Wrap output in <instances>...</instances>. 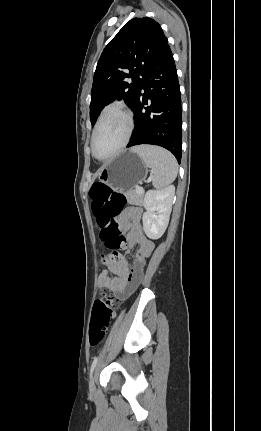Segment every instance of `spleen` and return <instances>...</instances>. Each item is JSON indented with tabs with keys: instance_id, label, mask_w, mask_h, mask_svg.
Here are the masks:
<instances>
[{
	"instance_id": "spleen-1",
	"label": "spleen",
	"mask_w": 261,
	"mask_h": 431,
	"mask_svg": "<svg viewBox=\"0 0 261 431\" xmlns=\"http://www.w3.org/2000/svg\"><path fill=\"white\" fill-rule=\"evenodd\" d=\"M132 150L141 157L147 167L153 170V186L155 188L163 190L176 179L178 164L169 151L148 145L137 146Z\"/></svg>"
}]
</instances>
